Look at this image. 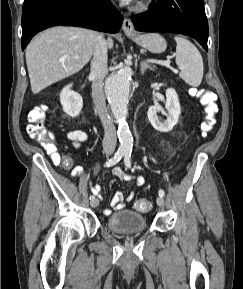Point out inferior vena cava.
<instances>
[{
	"label": "inferior vena cava",
	"instance_id": "602c4592",
	"mask_svg": "<svg viewBox=\"0 0 243 289\" xmlns=\"http://www.w3.org/2000/svg\"><path fill=\"white\" fill-rule=\"evenodd\" d=\"M107 48V41L102 35H98L91 61L90 77L93 80L92 97L104 127L103 150L105 153H113L117 143L116 128L107 112L103 93V79L107 74Z\"/></svg>",
	"mask_w": 243,
	"mask_h": 289
}]
</instances>
